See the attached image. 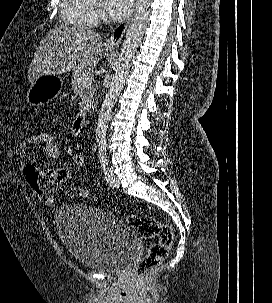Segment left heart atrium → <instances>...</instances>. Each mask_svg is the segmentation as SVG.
Returning a JSON list of instances; mask_svg holds the SVG:
<instances>
[{
	"label": "left heart atrium",
	"instance_id": "left-heart-atrium-1",
	"mask_svg": "<svg viewBox=\"0 0 272 303\" xmlns=\"http://www.w3.org/2000/svg\"><path fill=\"white\" fill-rule=\"evenodd\" d=\"M132 0H105L104 13L113 21L125 19L131 12Z\"/></svg>",
	"mask_w": 272,
	"mask_h": 303
}]
</instances>
